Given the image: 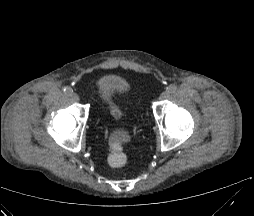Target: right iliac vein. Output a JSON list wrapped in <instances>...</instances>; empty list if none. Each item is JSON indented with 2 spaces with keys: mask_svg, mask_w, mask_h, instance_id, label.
<instances>
[{
  "mask_svg": "<svg viewBox=\"0 0 254 216\" xmlns=\"http://www.w3.org/2000/svg\"><path fill=\"white\" fill-rule=\"evenodd\" d=\"M71 98L74 100V101H79V96H78V94L77 93H72L71 94Z\"/></svg>",
  "mask_w": 254,
  "mask_h": 216,
  "instance_id": "63e3f726",
  "label": "right iliac vein"
}]
</instances>
